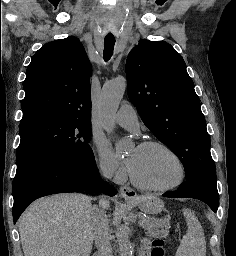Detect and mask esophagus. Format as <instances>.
Masks as SVG:
<instances>
[{
  "label": "esophagus",
  "instance_id": "obj_1",
  "mask_svg": "<svg viewBox=\"0 0 236 256\" xmlns=\"http://www.w3.org/2000/svg\"><path fill=\"white\" fill-rule=\"evenodd\" d=\"M119 193L125 200H134L137 198L136 191L130 188V186H121Z\"/></svg>",
  "mask_w": 236,
  "mask_h": 256
}]
</instances>
